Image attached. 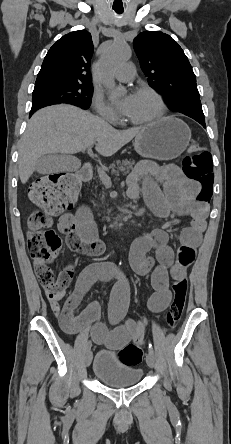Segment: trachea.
Returning a JSON list of instances; mask_svg holds the SVG:
<instances>
[{"instance_id": "obj_1", "label": "trachea", "mask_w": 231, "mask_h": 444, "mask_svg": "<svg viewBox=\"0 0 231 444\" xmlns=\"http://www.w3.org/2000/svg\"><path fill=\"white\" fill-rule=\"evenodd\" d=\"M115 12H116L117 14H122V13H123V10H115Z\"/></svg>"}]
</instances>
